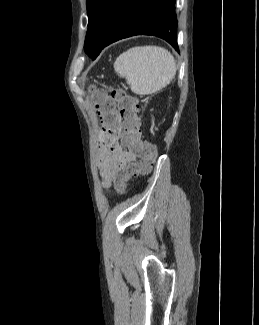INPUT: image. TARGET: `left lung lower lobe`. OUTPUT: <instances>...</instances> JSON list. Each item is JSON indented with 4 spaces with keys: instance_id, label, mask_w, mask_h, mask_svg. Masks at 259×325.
Listing matches in <instances>:
<instances>
[{
    "instance_id": "1",
    "label": "left lung lower lobe",
    "mask_w": 259,
    "mask_h": 325,
    "mask_svg": "<svg viewBox=\"0 0 259 325\" xmlns=\"http://www.w3.org/2000/svg\"><path fill=\"white\" fill-rule=\"evenodd\" d=\"M176 0H123L105 31L102 49L134 35H154L166 40L176 50Z\"/></svg>"
}]
</instances>
